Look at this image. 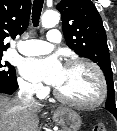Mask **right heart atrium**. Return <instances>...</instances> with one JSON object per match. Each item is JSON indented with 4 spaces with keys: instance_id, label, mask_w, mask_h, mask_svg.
<instances>
[{
    "instance_id": "1",
    "label": "right heart atrium",
    "mask_w": 117,
    "mask_h": 131,
    "mask_svg": "<svg viewBox=\"0 0 117 131\" xmlns=\"http://www.w3.org/2000/svg\"><path fill=\"white\" fill-rule=\"evenodd\" d=\"M18 83L20 89L28 95L39 97L45 93V88L38 82L28 81L21 78Z\"/></svg>"
}]
</instances>
